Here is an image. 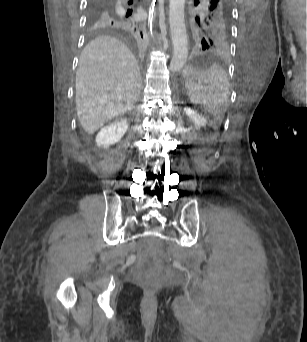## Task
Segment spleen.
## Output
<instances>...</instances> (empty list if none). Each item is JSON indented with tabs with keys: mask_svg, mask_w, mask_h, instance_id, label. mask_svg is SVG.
<instances>
[{
	"mask_svg": "<svg viewBox=\"0 0 307 342\" xmlns=\"http://www.w3.org/2000/svg\"><path fill=\"white\" fill-rule=\"evenodd\" d=\"M185 71V89L190 90L189 100L202 104L206 114H224L228 110L229 78L219 64H212L207 70L198 74V83H192L196 67L187 65Z\"/></svg>",
	"mask_w": 307,
	"mask_h": 342,
	"instance_id": "3e777b00",
	"label": "spleen"
}]
</instances>
